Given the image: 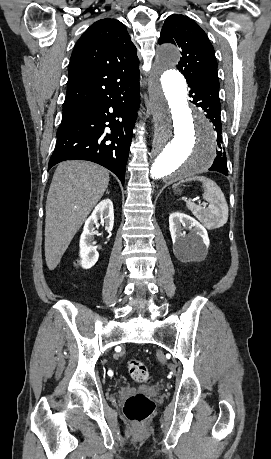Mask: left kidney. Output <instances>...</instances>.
<instances>
[{
    "label": "left kidney",
    "instance_id": "obj_1",
    "mask_svg": "<svg viewBox=\"0 0 271 459\" xmlns=\"http://www.w3.org/2000/svg\"><path fill=\"white\" fill-rule=\"evenodd\" d=\"M181 226H189L193 233H184ZM169 229L173 241L175 253L181 257H190L192 253H198L202 245L208 247L210 239L208 233L199 222H196L191 216L182 214V212H173L169 216Z\"/></svg>",
    "mask_w": 271,
    "mask_h": 459
}]
</instances>
